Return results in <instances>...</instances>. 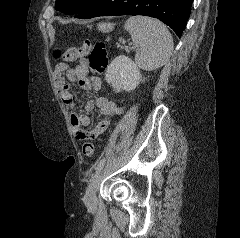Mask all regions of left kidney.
Returning <instances> with one entry per match:
<instances>
[{"mask_svg": "<svg viewBox=\"0 0 240 238\" xmlns=\"http://www.w3.org/2000/svg\"><path fill=\"white\" fill-rule=\"evenodd\" d=\"M141 78L137 64L129 57L119 55L114 58L107 68L106 81L117 91H132L139 84Z\"/></svg>", "mask_w": 240, "mask_h": 238, "instance_id": "5707ae66", "label": "left kidney"}]
</instances>
